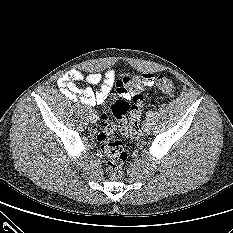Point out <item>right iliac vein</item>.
I'll return each instance as SVG.
<instances>
[{
	"instance_id": "right-iliac-vein-1",
	"label": "right iliac vein",
	"mask_w": 233,
	"mask_h": 233,
	"mask_svg": "<svg viewBox=\"0 0 233 233\" xmlns=\"http://www.w3.org/2000/svg\"><path fill=\"white\" fill-rule=\"evenodd\" d=\"M89 119L91 123H95L97 121V115L92 111L89 113Z\"/></svg>"
}]
</instances>
